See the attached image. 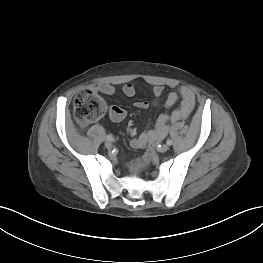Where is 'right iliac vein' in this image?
<instances>
[{"mask_svg": "<svg viewBox=\"0 0 263 263\" xmlns=\"http://www.w3.org/2000/svg\"><path fill=\"white\" fill-rule=\"evenodd\" d=\"M112 143L109 141V140H107V141H105V147L107 148V149H111L112 148Z\"/></svg>", "mask_w": 263, "mask_h": 263, "instance_id": "right-iliac-vein-1", "label": "right iliac vein"}]
</instances>
